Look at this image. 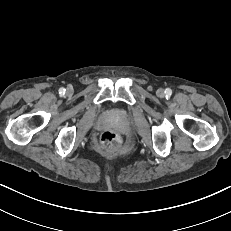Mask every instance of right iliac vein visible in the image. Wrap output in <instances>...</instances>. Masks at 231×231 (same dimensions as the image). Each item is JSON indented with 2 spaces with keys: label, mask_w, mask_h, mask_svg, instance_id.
Instances as JSON below:
<instances>
[{
  "label": "right iliac vein",
  "mask_w": 231,
  "mask_h": 231,
  "mask_svg": "<svg viewBox=\"0 0 231 231\" xmlns=\"http://www.w3.org/2000/svg\"><path fill=\"white\" fill-rule=\"evenodd\" d=\"M71 92H72V88L69 87V88L67 89V93H71Z\"/></svg>",
  "instance_id": "right-iliac-vein-1"
}]
</instances>
